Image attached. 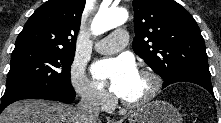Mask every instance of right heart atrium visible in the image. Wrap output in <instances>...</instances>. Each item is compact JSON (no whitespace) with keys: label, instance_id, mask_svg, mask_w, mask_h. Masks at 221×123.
Wrapping results in <instances>:
<instances>
[{"label":"right heart atrium","instance_id":"d8ad5b80","mask_svg":"<svg viewBox=\"0 0 221 123\" xmlns=\"http://www.w3.org/2000/svg\"><path fill=\"white\" fill-rule=\"evenodd\" d=\"M71 83L80 96L87 104L108 109L112 105L111 96L104 90L98 88L85 74L84 69L79 64H74L70 73Z\"/></svg>","mask_w":221,"mask_h":123}]
</instances>
